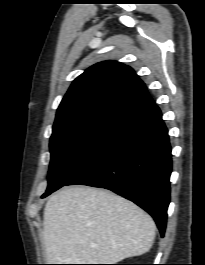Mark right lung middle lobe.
<instances>
[{
  "label": "right lung middle lobe",
  "instance_id": "1",
  "mask_svg": "<svg viewBox=\"0 0 205 265\" xmlns=\"http://www.w3.org/2000/svg\"><path fill=\"white\" fill-rule=\"evenodd\" d=\"M124 128L115 123H96L53 133L46 197L66 183L96 157Z\"/></svg>",
  "mask_w": 205,
  "mask_h": 265
}]
</instances>
